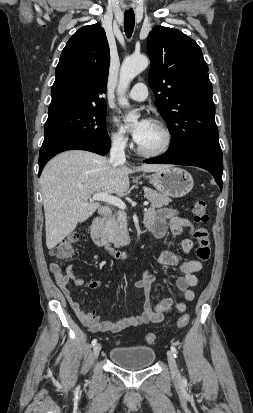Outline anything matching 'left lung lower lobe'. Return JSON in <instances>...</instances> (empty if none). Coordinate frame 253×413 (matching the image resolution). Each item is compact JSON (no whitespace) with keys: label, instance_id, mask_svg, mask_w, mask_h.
Listing matches in <instances>:
<instances>
[{"label":"left lung lower lobe","instance_id":"1","mask_svg":"<svg viewBox=\"0 0 253 413\" xmlns=\"http://www.w3.org/2000/svg\"><path fill=\"white\" fill-rule=\"evenodd\" d=\"M145 163L197 166L209 171L222 190L223 159L220 147L200 145L144 160Z\"/></svg>","mask_w":253,"mask_h":413}]
</instances>
